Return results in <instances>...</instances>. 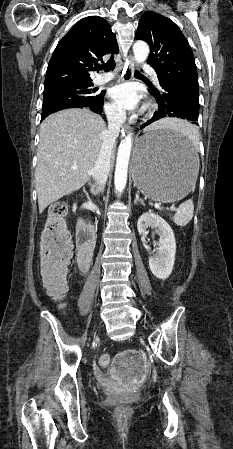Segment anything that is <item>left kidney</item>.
Here are the masks:
<instances>
[{"instance_id": "obj_1", "label": "left kidney", "mask_w": 233, "mask_h": 449, "mask_svg": "<svg viewBox=\"0 0 233 449\" xmlns=\"http://www.w3.org/2000/svg\"><path fill=\"white\" fill-rule=\"evenodd\" d=\"M149 227L155 229L160 236L158 251L156 254L149 256V267L156 278L165 280L172 273L175 261L176 241L174 233L162 217L151 212L144 213L137 222V229L143 242H145V234Z\"/></svg>"}]
</instances>
